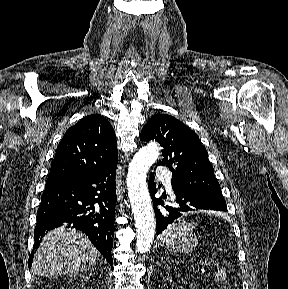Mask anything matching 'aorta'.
<instances>
[{"label": "aorta", "mask_w": 288, "mask_h": 289, "mask_svg": "<svg viewBox=\"0 0 288 289\" xmlns=\"http://www.w3.org/2000/svg\"><path fill=\"white\" fill-rule=\"evenodd\" d=\"M158 155L157 143H149L135 154L127 174L128 196L136 225V249L140 253L151 248L155 236V216L146 175Z\"/></svg>", "instance_id": "obj_1"}]
</instances>
